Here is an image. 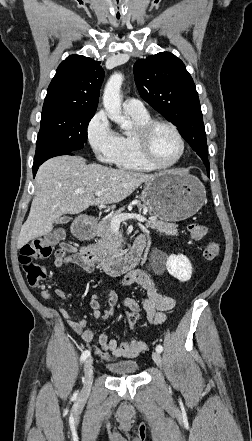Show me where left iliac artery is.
Wrapping results in <instances>:
<instances>
[{"instance_id": "obj_1", "label": "left iliac artery", "mask_w": 252, "mask_h": 441, "mask_svg": "<svg viewBox=\"0 0 252 441\" xmlns=\"http://www.w3.org/2000/svg\"><path fill=\"white\" fill-rule=\"evenodd\" d=\"M156 351L161 353L163 351V347L161 345L156 346Z\"/></svg>"}]
</instances>
